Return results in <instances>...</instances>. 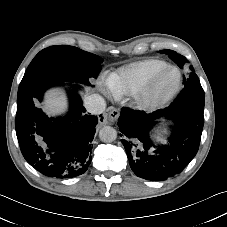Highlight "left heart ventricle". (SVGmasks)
Instances as JSON below:
<instances>
[{"label": "left heart ventricle", "mask_w": 227, "mask_h": 227, "mask_svg": "<svg viewBox=\"0 0 227 227\" xmlns=\"http://www.w3.org/2000/svg\"><path fill=\"white\" fill-rule=\"evenodd\" d=\"M177 73L175 71H169L163 75L161 80L159 81L157 87V93L162 94L167 92L176 82Z\"/></svg>", "instance_id": "1"}]
</instances>
